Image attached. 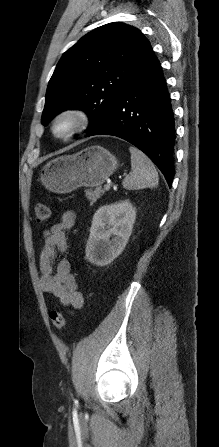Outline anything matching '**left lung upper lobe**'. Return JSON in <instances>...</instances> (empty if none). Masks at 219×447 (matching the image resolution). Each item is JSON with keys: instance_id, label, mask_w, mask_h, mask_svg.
<instances>
[{"instance_id": "1", "label": "left lung upper lobe", "mask_w": 219, "mask_h": 447, "mask_svg": "<svg viewBox=\"0 0 219 447\" xmlns=\"http://www.w3.org/2000/svg\"><path fill=\"white\" fill-rule=\"evenodd\" d=\"M150 43L136 28L103 25L67 50L49 81L41 122L67 109H83L91 119L87 133L105 118Z\"/></svg>"}]
</instances>
